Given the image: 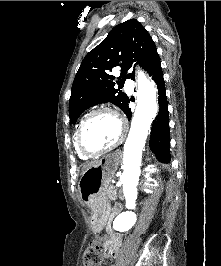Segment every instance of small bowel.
Here are the masks:
<instances>
[{
    "instance_id": "small-bowel-1",
    "label": "small bowel",
    "mask_w": 221,
    "mask_h": 266,
    "mask_svg": "<svg viewBox=\"0 0 221 266\" xmlns=\"http://www.w3.org/2000/svg\"><path fill=\"white\" fill-rule=\"evenodd\" d=\"M109 237L105 243L104 247V255L107 258L115 257L118 254L120 245L123 240V235L119 232L110 228L109 230Z\"/></svg>"
}]
</instances>
